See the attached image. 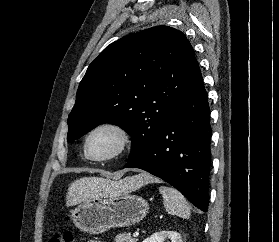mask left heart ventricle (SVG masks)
<instances>
[{"label":"left heart ventricle","instance_id":"left-heart-ventricle-1","mask_svg":"<svg viewBox=\"0 0 279 242\" xmlns=\"http://www.w3.org/2000/svg\"><path fill=\"white\" fill-rule=\"evenodd\" d=\"M118 144L117 135L109 130L96 133L89 142V153L93 157H103L110 154Z\"/></svg>","mask_w":279,"mask_h":242}]
</instances>
